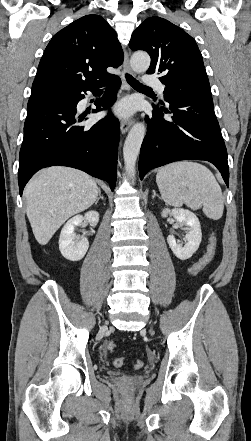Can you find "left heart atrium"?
<instances>
[{"label":"left heart atrium","instance_id":"left-heart-atrium-1","mask_svg":"<svg viewBox=\"0 0 251 441\" xmlns=\"http://www.w3.org/2000/svg\"><path fill=\"white\" fill-rule=\"evenodd\" d=\"M114 111L119 116L127 117L132 113L133 105L130 101H123L116 106Z\"/></svg>","mask_w":251,"mask_h":441}]
</instances>
